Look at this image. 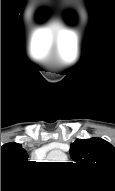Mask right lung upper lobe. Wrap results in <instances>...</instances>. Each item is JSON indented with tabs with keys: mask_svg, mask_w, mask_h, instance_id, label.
<instances>
[{
	"mask_svg": "<svg viewBox=\"0 0 115 191\" xmlns=\"http://www.w3.org/2000/svg\"><path fill=\"white\" fill-rule=\"evenodd\" d=\"M27 158L28 154L20 144H4L1 146V174L20 171L29 163Z\"/></svg>",
	"mask_w": 115,
	"mask_h": 191,
	"instance_id": "cb5924a9",
	"label": "right lung upper lobe"
}]
</instances>
